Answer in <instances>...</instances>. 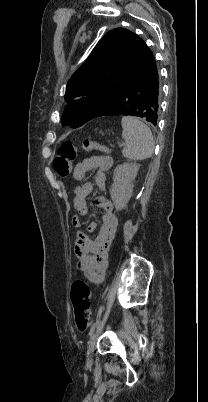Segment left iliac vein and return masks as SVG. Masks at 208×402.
I'll use <instances>...</instances> for the list:
<instances>
[{"instance_id":"1","label":"left iliac vein","mask_w":208,"mask_h":402,"mask_svg":"<svg viewBox=\"0 0 208 402\" xmlns=\"http://www.w3.org/2000/svg\"><path fill=\"white\" fill-rule=\"evenodd\" d=\"M96 340H97V332H93L92 337H91L90 342H89V345H88V349H87V356H86L87 364L92 363L93 352H94V349H95Z\"/></svg>"}]
</instances>
